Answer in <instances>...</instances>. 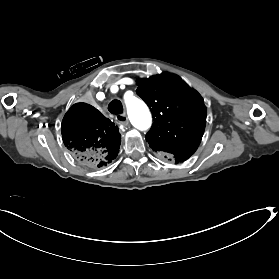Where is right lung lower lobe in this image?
Wrapping results in <instances>:
<instances>
[{
  "label": "right lung lower lobe",
  "mask_w": 279,
  "mask_h": 279,
  "mask_svg": "<svg viewBox=\"0 0 279 279\" xmlns=\"http://www.w3.org/2000/svg\"><path fill=\"white\" fill-rule=\"evenodd\" d=\"M61 133L71 155L91 169L107 166L119 152L121 135L118 127L86 103L74 104L67 111Z\"/></svg>",
  "instance_id": "98d812e1"
}]
</instances>
